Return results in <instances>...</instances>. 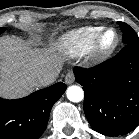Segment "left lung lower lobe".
<instances>
[{"label":"left lung lower lobe","mask_w":139,"mask_h":139,"mask_svg":"<svg viewBox=\"0 0 139 139\" xmlns=\"http://www.w3.org/2000/svg\"><path fill=\"white\" fill-rule=\"evenodd\" d=\"M74 74L83 86L84 112L94 130L119 136L139 125V41L96 67H75Z\"/></svg>","instance_id":"1"}]
</instances>
